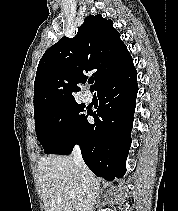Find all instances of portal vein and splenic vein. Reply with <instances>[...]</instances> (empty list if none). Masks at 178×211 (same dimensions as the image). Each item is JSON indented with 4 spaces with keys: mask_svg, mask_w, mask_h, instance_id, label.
Listing matches in <instances>:
<instances>
[{
    "mask_svg": "<svg viewBox=\"0 0 178 211\" xmlns=\"http://www.w3.org/2000/svg\"><path fill=\"white\" fill-rule=\"evenodd\" d=\"M70 198H71V200H74L75 196L74 195H70Z\"/></svg>",
    "mask_w": 178,
    "mask_h": 211,
    "instance_id": "obj_1",
    "label": "portal vein and splenic vein"
}]
</instances>
